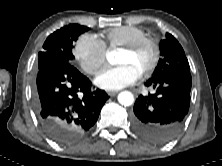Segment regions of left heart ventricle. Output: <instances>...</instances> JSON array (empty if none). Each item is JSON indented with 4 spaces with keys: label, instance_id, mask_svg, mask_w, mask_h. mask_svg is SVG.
<instances>
[{
    "label": "left heart ventricle",
    "instance_id": "left-heart-ventricle-1",
    "mask_svg": "<svg viewBox=\"0 0 222 166\" xmlns=\"http://www.w3.org/2000/svg\"><path fill=\"white\" fill-rule=\"evenodd\" d=\"M153 51L150 46H143L134 53L121 51L118 57V63H128L134 66L140 73H142L150 64L152 60Z\"/></svg>",
    "mask_w": 222,
    "mask_h": 166
}]
</instances>
